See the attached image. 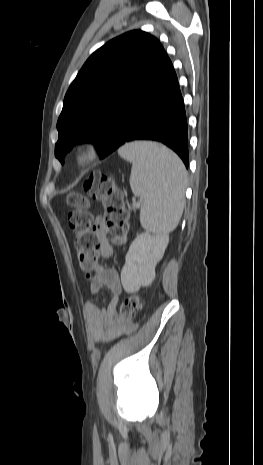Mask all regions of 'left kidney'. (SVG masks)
<instances>
[{
	"instance_id": "1",
	"label": "left kidney",
	"mask_w": 263,
	"mask_h": 465,
	"mask_svg": "<svg viewBox=\"0 0 263 465\" xmlns=\"http://www.w3.org/2000/svg\"><path fill=\"white\" fill-rule=\"evenodd\" d=\"M169 242L167 234H139L131 243L121 271V282L127 293L147 287L155 279V267L162 259Z\"/></svg>"
}]
</instances>
